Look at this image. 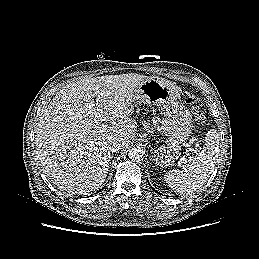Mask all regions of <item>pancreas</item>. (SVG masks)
Wrapping results in <instances>:
<instances>
[{
    "instance_id": "obj_1",
    "label": "pancreas",
    "mask_w": 259,
    "mask_h": 259,
    "mask_svg": "<svg viewBox=\"0 0 259 259\" xmlns=\"http://www.w3.org/2000/svg\"><path fill=\"white\" fill-rule=\"evenodd\" d=\"M142 124L144 125V127L147 129V130H150L151 127H150V123L148 121H143Z\"/></svg>"
}]
</instances>
